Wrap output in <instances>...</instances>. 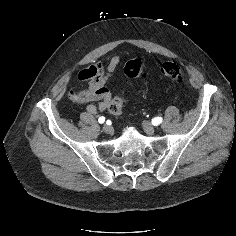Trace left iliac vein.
<instances>
[{
	"label": "left iliac vein",
	"mask_w": 236,
	"mask_h": 236,
	"mask_svg": "<svg viewBox=\"0 0 236 236\" xmlns=\"http://www.w3.org/2000/svg\"><path fill=\"white\" fill-rule=\"evenodd\" d=\"M142 126L145 132L150 135H153L156 132V128L148 121H143Z\"/></svg>",
	"instance_id": "4c4485c4"
}]
</instances>
